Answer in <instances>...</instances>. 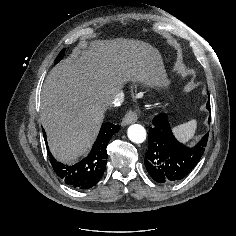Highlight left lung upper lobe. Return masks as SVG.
Here are the masks:
<instances>
[{"label":"left lung upper lobe","instance_id":"left-lung-upper-lobe-1","mask_svg":"<svg viewBox=\"0 0 236 236\" xmlns=\"http://www.w3.org/2000/svg\"><path fill=\"white\" fill-rule=\"evenodd\" d=\"M206 107H207V108H209V107H210V103H209V102L207 103Z\"/></svg>","mask_w":236,"mask_h":236}]
</instances>
